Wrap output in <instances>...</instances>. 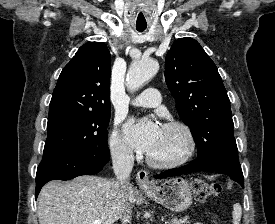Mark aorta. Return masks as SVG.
Returning a JSON list of instances; mask_svg holds the SVG:
<instances>
[{
    "instance_id": "aorta-1",
    "label": "aorta",
    "mask_w": 275,
    "mask_h": 224,
    "mask_svg": "<svg viewBox=\"0 0 275 224\" xmlns=\"http://www.w3.org/2000/svg\"><path fill=\"white\" fill-rule=\"evenodd\" d=\"M158 69L159 64L154 59H141L133 62L127 72L126 79L129 91L138 90L158 72Z\"/></svg>"
}]
</instances>
